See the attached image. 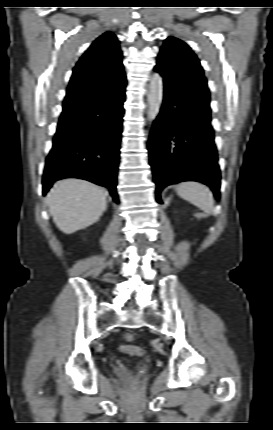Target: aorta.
<instances>
[{
    "mask_svg": "<svg viewBox=\"0 0 273 430\" xmlns=\"http://www.w3.org/2000/svg\"><path fill=\"white\" fill-rule=\"evenodd\" d=\"M163 99V80L162 77L154 73L150 79L149 91L147 96L148 101V119L154 120L159 113Z\"/></svg>",
    "mask_w": 273,
    "mask_h": 430,
    "instance_id": "762f6f07",
    "label": "aorta"
}]
</instances>
